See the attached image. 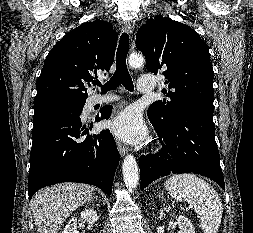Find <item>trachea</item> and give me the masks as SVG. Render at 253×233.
Masks as SVG:
<instances>
[{"instance_id": "trachea-1", "label": "trachea", "mask_w": 253, "mask_h": 233, "mask_svg": "<svg viewBox=\"0 0 253 233\" xmlns=\"http://www.w3.org/2000/svg\"><path fill=\"white\" fill-rule=\"evenodd\" d=\"M129 49V36L127 33H123L120 37L117 53H116V71L111 79L101 85L99 81H95L93 84L101 87L102 93L116 89L119 85L123 84L128 91L134 90L132 78L128 72L126 65V57Z\"/></svg>"}]
</instances>
